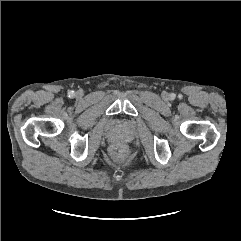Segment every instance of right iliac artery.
<instances>
[{
  "instance_id": "1",
  "label": "right iliac artery",
  "mask_w": 241,
  "mask_h": 241,
  "mask_svg": "<svg viewBox=\"0 0 241 241\" xmlns=\"http://www.w3.org/2000/svg\"><path fill=\"white\" fill-rule=\"evenodd\" d=\"M74 95H75L74 91L68 92V96H69L70 98H72Z\"/></svg>"
}]
</instances>
